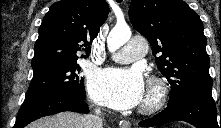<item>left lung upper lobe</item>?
Returning <instances> with one entry per match:
<instances>
[{
	"mask_svg": "<svg viewBox=\"0 0 221 128\" xmlns=\"http://www.w3.org/2000/svg\"><path fill=\"white\" fill-rule=\"evenodd\" d=\"M129 17L152 45L158 69L169 81L168 106L212 95L206 37L196 12L181 0H131Z\"/></svg>",
	"mask_w": 221,
	"mask_h": 128,
	"instance_id": "1",
	"label": "left lung upper lobe"
}]
</instances>
